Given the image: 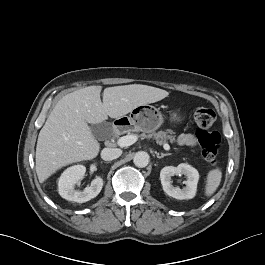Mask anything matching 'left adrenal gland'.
Here are the masks:
<instances>
[{"mask_svg": "<svg viewBox=\"0 0 265 265\" xmlns=\"http://www.w3.org/2000/svg\"><path fill=\"white\" fill-rule=\"evenodd\" d=\"M156 155H157V158H163V157H165V156H169V155H171V153H166V154H164V153H161V155L159 154V153H157L156 152Z\"/></svg>", "mask_w": 265, "mask_h": 265, "instance_id": "left-adrenal-gland-1", "label": "left adrenal gland"}]
</instances>
